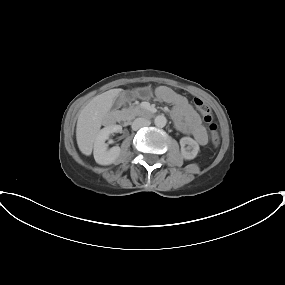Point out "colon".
Returning a JSON list of instances; mask_svg holds the SVG:
<instances>
[{"instance_id": "obj_1", "label": "colon", "mask_w": 285, "mask_h": 285, "mask_svg": "<svg viewBox=\"0 0 285 285\" xmlns=\"http://www.w3.org/2000/svg\"><path fill=\"white\" fill-rule=\"evenodd\" d=\"M193 103L202 114L203 120L209 128L213 144L218 145L220 137L218 132V126L214 121L212 110L201 98H194Z\"/></svg>"}]
</instances>
